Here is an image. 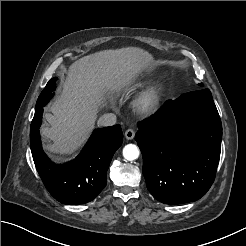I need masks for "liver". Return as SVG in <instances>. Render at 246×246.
<instances>
[{
    "label": "liver",
    "instance_id": "liver-1",
    "mask_svg": "<svg viewBox=\"0 0 246 246\" xmlns=\"http://www.w3.org/2000/svg\"><path fill=\"white\" fill-rule=\"evenodd\" d=\"M154 62L153 56L138 47L96 52L69 66L60 96L45 114L48 126L41 133L51 142L44 148L53 154H75L93 129L98 109L107 91L127 89Z\"/></svg>",
    "mask_w": 246,
    "mask_h": 246
}]
</instances>
